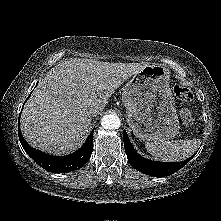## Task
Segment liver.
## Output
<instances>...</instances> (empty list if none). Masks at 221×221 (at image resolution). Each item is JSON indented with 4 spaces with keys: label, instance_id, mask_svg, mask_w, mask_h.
<instances>
[{
    "label": "liver",
    "instance_id": "6515ba94",
    "mask_svg": "<svg viewBox=\"0 0 221 221\" xmlns=\"http://www.w3.org/2000/svg\"><path fill=\"white\" fill-rule=\"evenodd\" d=\"M147 64L71 59L54 66L33 91L22 111L21 130L34 148L66 154L81 146L94 108Z\"/></svg>",
    "mask_w": 221,
    "mask_h": 221
}]
</instances>
